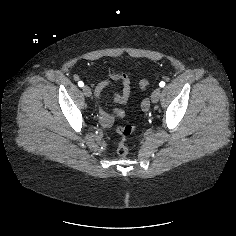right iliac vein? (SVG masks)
<instances>
[{
	"mask_svg": "<svg viewBox=\"0 0 236 236\" xmlns=\"http://www.w3.org/2000/svg\"><path fill=\"white\" fill-rule=\"evenodd\" d=\"M82 91L86 97H90L92 95V91L88 86H83Z\"/></svg>",
	"mask_w": 236,
	"mask_h": 236,
	"instance_id": "63e3f726",
	"label": "right iliac vein"
}]
</instances>
